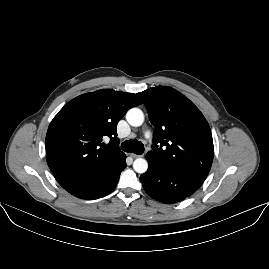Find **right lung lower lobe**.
<instances>
[{
    "label": "right lung lower lobe",
    "instance_id": "1",
    "mask_svg": "<svg viewBox=\"0 0 269 269\" xmlns=\"http://www.w3.org/2000/svg\"><path fill=\"white\" fill-rule=\"evenodd\" d=\"M126 168L124 153L103 161L98 166L66 170L54 174L58 183L72 195L86 200L98 199L111 193Z\"/></svg>",
    "mask_w": 269,
    "mask_h": 269
}]
</instances>
